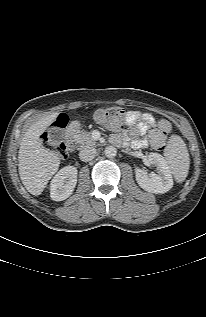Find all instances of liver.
<instances>
[{
  "label": "liver",
  "mask_w": 206,
  "mask_h": 317,
  "mask_svg": "<svg viewBox=\"0 0 206 317\" xmlns=\"http://www.w3.org/2000/svg\"><path fill=\"white\" fill-rule=\"evenodd\" d=\"M55 112L40 118L24 133L18 154L20 179L32 195H40L49 180L57 172L60 159L54 151L46 149L41 142L42 133L57 119Z\"/></svg>",
  "instance_id": "1"
}]
</instances>
